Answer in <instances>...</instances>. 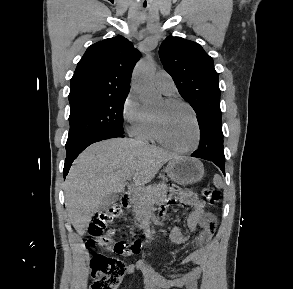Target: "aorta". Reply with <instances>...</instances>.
Returning a JSON list of instances; mask_svg holds the SVG:
<instances>
[{
  "label": "aorta",
  "instance_id": "1",
  "mask_svg": "<svg viewBox=\"0 0 293 289\" xmlns=\"http://www.w3.org/2000/svg\"><path fill=\"white\" fill-rule=\"evenodd\" d=\"M155 65L151 60L138 63L134 69L132 87L144 105H156L161 101V95L153 85Z\"/></svg>",
  "mask_w": 293,
  "mask_h": 289
}]
</instances>
